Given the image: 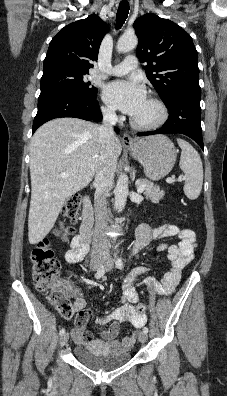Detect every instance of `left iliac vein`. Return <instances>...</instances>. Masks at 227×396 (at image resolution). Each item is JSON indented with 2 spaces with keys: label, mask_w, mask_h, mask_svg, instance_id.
Returning a JSON list of instances; mask_svg holds the SVG:
<instances>
[{
  "label": "left iliac vein",
  "mask_w": 227,
  "mask_h": 396,
  "mask_svg": "<svg viewBox=\"0 0 227 396\" xmlns=\"http://www.w3.org/2000/svg\"><path fill=\"white\" fill-rule=\"evenodd\" d=\"M114 266V261L113 259L109 258L106 262V268L107 270H111ZM138 339L141 343H145L147 340V334L144 333L143 331L139 333Z\"/></svg>",
  "instance_id": "4c4485c4"
}]
</instances>
